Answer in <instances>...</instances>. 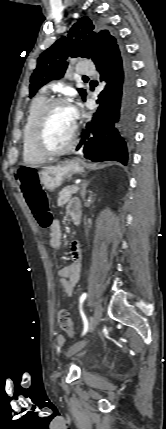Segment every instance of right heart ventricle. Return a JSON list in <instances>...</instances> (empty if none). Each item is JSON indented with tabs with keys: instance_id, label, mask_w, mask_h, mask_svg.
<instances>
[{
	"instance_id": "obj_1",
	"label": "right heart ventricle",
	"mask_w": 166,
	"mask_h": 429,
	"mask_svg": "<svg viewBox=\"0 0 166 429\" xmlns=\"http://www.w3.org/2000/svg\"><path fill=\"white\" fill-rule=\"evenodd\" d=\"M44 93L38 94L31 102L26 122L23 128L22 138V156L24 162L28 164H40L46 160V157L35 152L31 146V132L36 116L47 101Z\"/></svg>"
}]
</instances>
